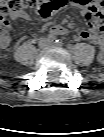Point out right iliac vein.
Returning <instances> with one entry per match:
<instances>
[{"instance_id": "obj_1", "label": "right iliac vein", "mask_w": 104, "mask_h": 137, "mask_svg": "<svg viewBox=\"0 0 104 137\" xmlns=\"http://www.w3.org/2000/svg\"><path fill=\"white\" fill-rule=\"evenodd\" d=\"M48 44H49L48 41L43 39L39 42V47L40 48H45V47L48 46Z\"/></svg>"}]
</instances>
